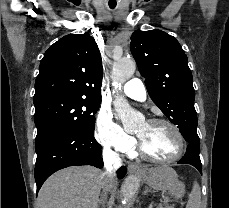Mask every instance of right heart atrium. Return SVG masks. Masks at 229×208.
<instances>
[{"mask_svg": "<svg viewBox=\"0 0 229 208\" xmlns=\"http://www.w3.org/2000/svg\"><path fill=\"white\" fill-rule=\"evenodd\" d=\"M94 136L104 148L120 153H132L137 147L134 137L125 133L113 120L109 112L101 110L95 120Z\"/></svg>", "mask_w": 229, "mask_h": 208, "instance_id": "d8ad5b80", "label": "right heart atrium"}]
</instances>
